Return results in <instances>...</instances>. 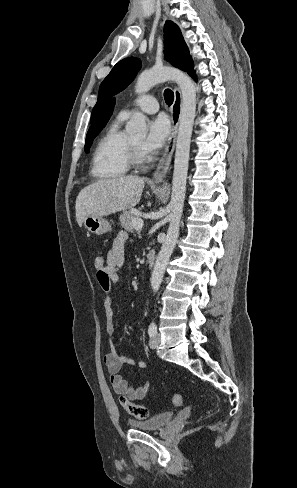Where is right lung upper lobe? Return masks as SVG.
Instances as JSON below:
<instances>
[{"mask_svg": "<svg viewBox=\"0 0 297 488\" xmlns=\"http://www.w3.org/2000/svg\"><path fill=\"white\" fill-rule=\"evenodd\" d=\"M114 105H115V99L113 98L106 105V107L99 114V116L96 118V120L94 121V123L92 124L91 128L89 129V131L87 133V137H89L92 134H94L95 131H97L100 127L104 126L107 123V121L109 120L110 116L113 113Z\"/></svg>", "mask_w": 297, "mask_h": 488, "instance_id": "cb5924a9", "label": "right lung upper lobe"}]
</instances>
